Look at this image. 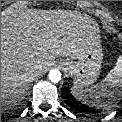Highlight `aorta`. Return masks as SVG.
<instances>
[{
    "mask_svg": "<svg viewBox=\"0 0 122 122\" xmlns=\"http://www.w3.org/2000/svg\"><path fill=\"white\" fill-rule=\"evenodd\" d=\"M49 80L53 83H58L61 80V73L57 69H53L49 72Z\"/></svg>",
    "mask_w": 122,
    "mask_h": 122,
    "instance_id": "762f6f07",
    "label": "aorta"
}]
</instances>
